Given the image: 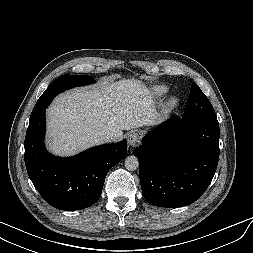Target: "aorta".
I'll list each match as a JSON object with an SVG mask.
<instances>
[{
    "mask_svg": "<svg viewBox=\"0 0 253 253\" xmlns=\"http://www.w3.org/2000/svg\"><path fill=\"white\" fill-rule=\"evenodd\" d=\"M139 167V161L138 158L134 155L128 156L125 159V168L128 171H134Z\"/></svg>",
    "mask_w": 253,
    "mask_h": 253,
    "instance_id": "1",
    "label": "aorta"
}]
</instances>
